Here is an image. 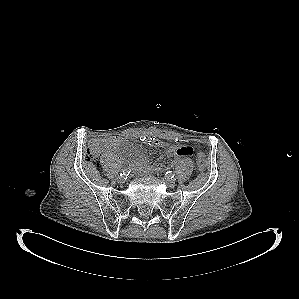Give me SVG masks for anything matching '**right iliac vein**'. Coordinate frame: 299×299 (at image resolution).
Segmentation results:
<instances>
[{"label": "right iliac vein", "mask_w": 299, "mask_h": 299, "mask_svg": "<svg viewBox=\"0 0 299 299\" xmlns=\"http://www.w3.org/2000/svg\"><path fill=\"white\" fill-rule=\"evenodd\" d=\"M117 181H118L119 183L123 184V183L126 182V178H125L124 176H119V177L117 178Z\"/></svg>", "instance_id": "1"}]
</instances>
